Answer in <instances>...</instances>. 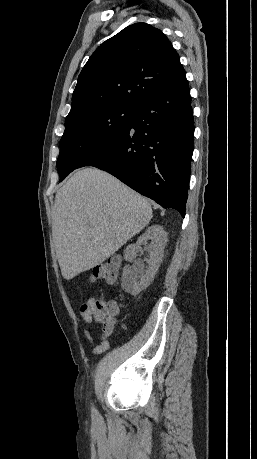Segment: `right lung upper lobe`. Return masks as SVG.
I'll use <instances>...</instances> for the list:
<instances>
[{
	"mask_svg": "<svg viewBox=\"0 0 257 459\" xmlns=\"http://www.w3.org/2000/svg\"><path fill=\"white\" fill-rule=\"evenodd\" d=\"M184 74L161 30L146 23L130 25L89 58L78 77L66 125L104 108L136 107Z\"/></svg>",
	"mask_w": 257,
	"mask_h": 459,
	"instance_id": "1",
	"label": "right lung upper lobe"
}]
</instances>
